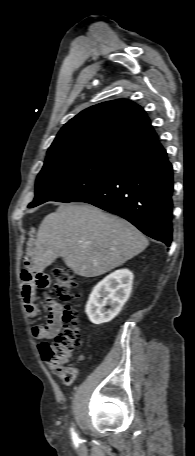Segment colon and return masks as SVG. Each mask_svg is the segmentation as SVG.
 Listing matches in <instances>:
<instances>
[{
	"mask_svg": "<svg viewBox=\"0 0 195 456\" xmlns=\"http://www.w3.org/2000/svg\"><path fill=\"white\" fill-rule=\"evenodd\" d=\"M54 286L60 300L65 303L60 307L61 320L64 322L62 332L52 342H42L39 350L49 368L67 385L77 377L75 368L69 361L79 345V335L75 327L77 310L70 302L78 296V278L68 267L55 265L52 269Z\"/></svg>",
	"mask_w": 195,
	"mask_h": 456,
	"instance_id": "5ec220e1",
	"label": "colon"
}]
</instances>
